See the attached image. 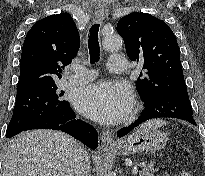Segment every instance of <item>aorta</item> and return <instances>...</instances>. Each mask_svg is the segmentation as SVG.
Masks as SVG:
<instances>
[{
  "mask_svg": "<svg viewBox=\"0 0 205 176\" xmlns=\"http://www.w3.org/2000/svg\"><path fill=\"white\" fill-rule=\"evenodd\" d=\"M122 46V38L117 34L108 35L103 40V48L107 51L118 50Z\"/></svg>",
  "mask_w": 205,
  "mask_h": 176,
  "instance_id": "1",
  "label": "aorta"
}]
</instances>
